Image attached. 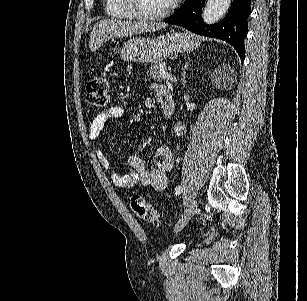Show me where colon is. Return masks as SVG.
Here are the masks:
<instances>
[{
  "label": "colon",
  "instance_id": "1",
  "mask_svg": "<svg viewBox=\"0 0 307 301\" xmlns=\"http://www.w3.org/2000/svg\"><path fill=\"white\" fill-rule=\"evenodd\" d=\"M86 97L90 104L96 107H105L109 101V83L105 74L92 78L86 86ZM130 205L134 214L142 220L158 223L159 212L143 197L133 196Z\"/></svg>",
  "mask_w": 307,
  "mask_h": 301
}]
</instances>
